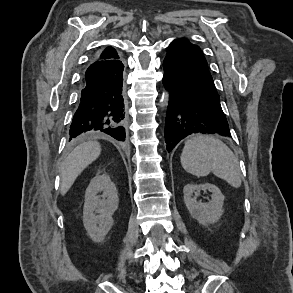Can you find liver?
Segmentation results:
<instances>
[{"instance_id": "liver-1", "label": "liver", "mask_w": 293, "mask_h": 293, "mask_svg": "<svg viewBox=\"0 0 293 293\" xmlns=\"http://www.w3.org/2000/svg\"><path fill=\"white\" fill-rule=\"evenodd\" d=\"M101 153L96 141L84 142L77 146L63 161L60 168L61 195H65L81 172L94 162Z\"/></svg>"}]
</instances>
